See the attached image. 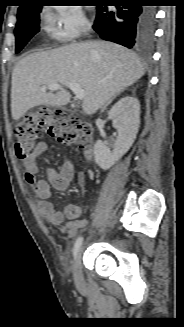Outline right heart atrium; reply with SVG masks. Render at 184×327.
Masks as SVG:
<instances>
[{
  "mask_svg": "<svg viewBox=\"0 0 184 327\" xmlns=\"http://www.w3.org/2000/svg\"><path fill=\"white\" fill-rule=\"evenodd\" d=\"M44 20L50 36L63 43L75 41L91 27L83 9L78 5L59 7L55 12L46 14Z\"/></svg>",
  "mask_w": 184,
  "mask_h": 327,
  "instance_id": "1",
  "label": "right heart atrium"
}]
</instances>
